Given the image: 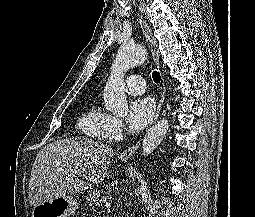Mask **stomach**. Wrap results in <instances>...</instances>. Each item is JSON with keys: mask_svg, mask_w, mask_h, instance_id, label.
<instances>
[{"mask_svg": "<svg viewBox=\"0 0 255 217\" xmlns=\"http://www.w3.org/2000/svg\"><path fill=\"white\" fill-rule=\"evenodd\" d=\"M72 197H58L34 207L32 217H69L78 209Z\"/></svg>", "mask_w": 255, "mask_h": 217, "instance_id": "0dacf381", "label": "stomach"}]
</instances>
